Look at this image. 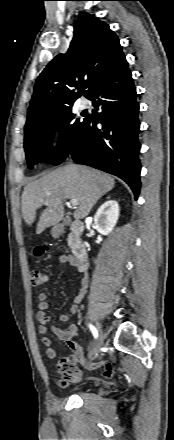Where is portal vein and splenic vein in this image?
Returning <instances> with one entry per match:
<instances>
[{"label": "portal vein and splenic vein", "mask_w": 174, "mask_h": 440, "mask_svg": "<svg viewBox=\"0 0 174 440\" xmlns=\"http://www.w3.org/2000/svg\"><path fill=\"white\" fill-rule=\"evenodd\" d=\"M70 204H71L72 206H77V205H78V201H77L76 199H71V200H70Z\"/></svg>", "instance_id": "18ae733b"}]
</instances>
